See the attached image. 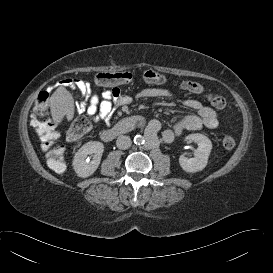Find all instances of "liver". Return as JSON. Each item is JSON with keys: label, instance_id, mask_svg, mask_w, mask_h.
I'll return each mask as SVG.
<instances>
[{"label": "liver", "instance_id": "6515ba94", "mask_svg": "<svg viewBox=\"0 0 273 273\" xmlns=\"http://www.w3.org/2000/svg\"><path fill=\"white\" fill-rule=\"evenodd\" d=\"M50 110L53 121L58 124L63 118L72 120L74 117V99L64 87H59L50 98Z\"/></svg>", "mask_w": 273, "mask_h": 273}]
</instances>
